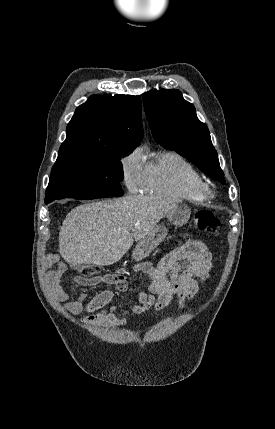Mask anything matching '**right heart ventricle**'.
I'll return each instance as SVG.
<instances>
[{
  "label": "right heart ventricle",
  "mask_w": 275,
  "mask_h": 429,
  "mask_svg": "<svg viewBox=\"0 0 275 429\" xmlns=\"http://www.w3.org/2000/svg\"><path fill=\"white\" fill-rule=\"evenodd\" d=\"M204 179L199 171L181 154L162 151L145 165L143 190L191 202L205 199L200 187Z\"/></svg>",
  "instance_id": "e07e8e85"
}]
</instances>
